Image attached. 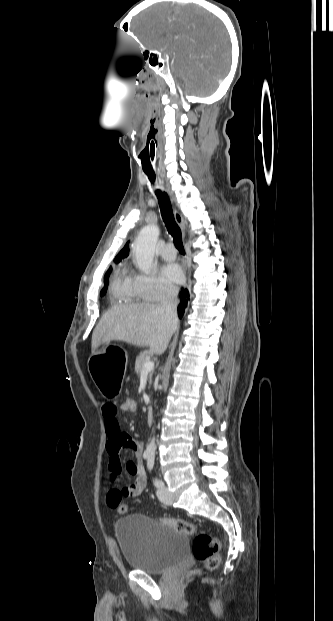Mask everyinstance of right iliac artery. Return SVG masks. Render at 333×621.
Segmentation results:
<instances>
[{
  "instance_id": "obj_1",
  "label": "right iliac artery",
  "mask_w": 333,
  "mask_h": 621,
  "mask_svg": "<svg viewBox=\"0 0 333 621\" xmlns=\"http://www.w3.org/2000/svg\"><path fill=\"white\" fill-rule=\"evenodd\" d=\"M143 457L146 459V458H148V457H149V455L144 454V455H143Z\"/></svg>"
}]
</instances>
